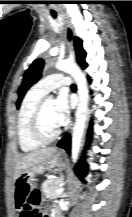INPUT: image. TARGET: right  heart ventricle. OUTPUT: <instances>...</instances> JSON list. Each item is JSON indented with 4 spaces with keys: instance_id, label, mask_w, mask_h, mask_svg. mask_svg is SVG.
Wrapping results in <instances>:
<instances>
[{
    "instance_id": "obj_1",
    "label": "right heart ventricle",
    "mask_w": 132,
    "mask_h": 217,
    "mask_svg": "<svg viewBox=\"0 0 132 217\" xmlns=\"http://www.w3.org/2000/svg\"><path fill=\"white\" fill-rule=\"evenodd\" d=\"M46 93L38 87L33 86L25 94L19 114L17 124L18 143L22 151L32 152L39 149L42 144L36 141L31 134V117L38 103L45 97Z\"/></svg>"
}]
</instances>
